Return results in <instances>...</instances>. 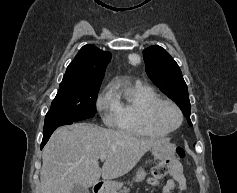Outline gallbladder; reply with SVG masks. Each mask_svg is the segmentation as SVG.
Segmentation results:
<instances>
[{"label": "gallbladder", "mask_w": 237, "mask_h": 193, "mask_svg": "<svg viewBox=\"0 0 237 193\" xmlns=\"http://www.w3.org/2000/svg\"><path fill=\"white\" fill-rule=\"evenodd\" d=\"M71 193H89V190L80 184H75L71 190Z\"/></svg>", "instance_id": "1"}]
</instances>
